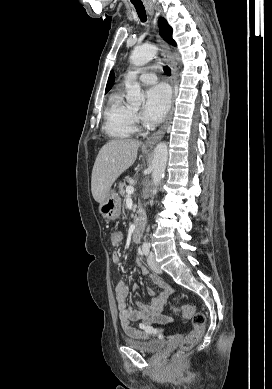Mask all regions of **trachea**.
<instances>
[{
  "label": "trachea",
  "instance_id": "trachea-1",
  "mask_svg": "<svg viewBox=\"0 0 272 389\" xmlns=\"http://www.w3.org/2000/svg\"><path fill=\"white\" fill-rule=\"evenodd\" d=\"M136 12L142 22H145L147 19L145 8L142 4H134ZM164 72L166 75H171V69L168 66H164Z\"/></svg>",
  "mask_w": 272,
  "mask_h": 389
}]
</instances>
